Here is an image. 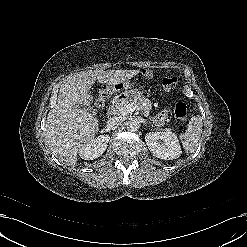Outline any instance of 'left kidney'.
<instances>
[{
  "label": "left kidney",
  "mask_w": 247,
  "mask_h": 247,
  "mask_svg": "<svg viewBox=\"0 0 247 247\" xmlns=\"http://www.w3.org/2000/svg\"><path fill=\"white\" fill-rule=\"evenodd\" d=\"M145 141L150 152L160 159H177L182 153L177 135L170 130L149 132Z\"/></svg>",
  "instance_id": "left-kidney-1"
}]
</instances>
